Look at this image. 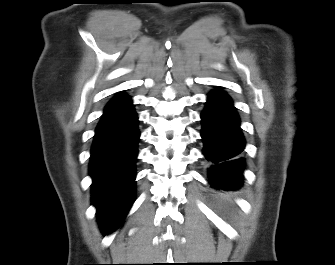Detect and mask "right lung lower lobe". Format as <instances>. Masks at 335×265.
Returning a JSON list of instances; mask_svg holds the SVG:
<instances>
[{"instance_id": "98d812e1", "label": "right lung lower lobe", "mask_w": 335, "mask_h": 265, "mask_svg": "<svg viewBox=\"0 0 335 265\" xmlns=\"http://www.w3.org/2000/svg\"><path fill=\"white\" fill-rule=\"evenodd\" d=\"M138 117L132 100L117 94L105 107L91 149L92 203L106 235L119 227L135 196Z\"/></svg>"}]
</instances>
